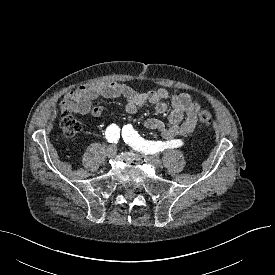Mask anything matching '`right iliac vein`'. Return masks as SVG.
I'll use <instances>...</instances> for the list:
<instances>
[{
  "mask_svg": "<svg viewBox=\"0 0 275 275\" xmlns=\"http://www.w3.org/2000/svg\"><path fill=\"white\" fill-rule=\"evenodd\" d=\"M116 152L117 146L115 144H112L106 149V156L108 158H113L116 155Z\"/></svg>",
  "mask_w": 275,
  "mask_h": 275,
  "instance_id": "63e3f726",
  "label": "right iliac vein"
}]
</instances>
